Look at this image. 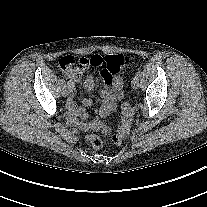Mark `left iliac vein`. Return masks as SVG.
<instances>
[{"mask_svg": "<svg viewBox=\"0 0 207 207\" xmlns=\"http://www.w3.org/2000/svg\"><path fill=\"white\" fill-rule=\"evenodd\" d=\"M131 86L133 89H137L139 87V78L138 77H134L131 81Z\"/></svg>", "mask_w": 207, "mask_h": 207, "instance_id": "4c4485c4", "label": "left iliac vein"}]
</instances>
